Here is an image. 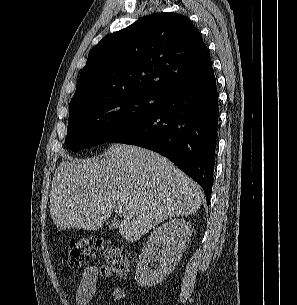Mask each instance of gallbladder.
<instances>
[{"mask_svg": "<svg viewBox=\"0 0 297 305\" xmlns=\"http://www.w3.org/2000/svg\"><path fill=\"white\" fill-rule=\"evenodd\" d=\"M108 227H109L110 229H116V228L119 227V222H117V221H110V222L108 223Z\"/></svg>", "mask_w": 297, "mask_h": 305, "instance_id": "obj_1", "label": "gallbladder"}]
</instances>
